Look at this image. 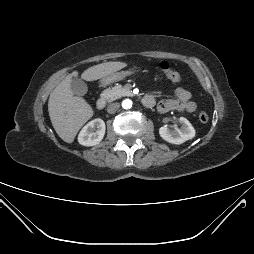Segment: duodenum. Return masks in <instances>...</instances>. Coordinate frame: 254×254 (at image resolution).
<instances>
[{
	"instance_id": "410a0bca",
	"label": "duodenum",
	"mask_w": 254,
	"mask_h": 254,
	"mask_svg": "<svg viewBox=\"0 0 254 254\" xmlns=\"http://www.w3.org/2000/svg\"><path fill=\"white\" fill-rule=\"evenodd\" d=\"M106 99L104 97H100L97 102H96V107L99 109V110H102L105 108L106 106ZM142 103L145 107H152L154 105V100L153 98H151L150 96H145L143 99H142Z\"/></svg>"
}]
</instances>
